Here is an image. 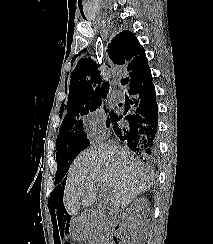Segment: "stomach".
<instances>
[{
	"label": "stomach",
	"instance_id": "stomach-1",
	"mask_svg": "<svg viewBox=\"0 0 213 244\" xmlns=\"http://www.w3.org/2000/svg\"><path fill=\"white\" fill-rule=\"evenodd\" d=\"M71 234L77 239L86 237V226L83 221H74L72 224Z\"/></svg>",
	"mask_w": 213,
	"mask_h": 244
}]
</instances>
